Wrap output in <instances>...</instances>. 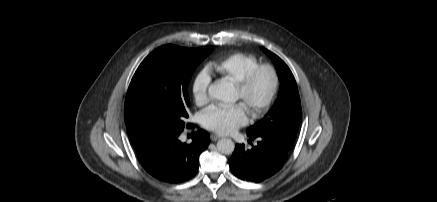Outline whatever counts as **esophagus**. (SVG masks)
Here are the masks:
<instances>
[{
	"label": "esophagus",
	"instance_id": "34e87169",
	"mask_svg": "<svg viewBox=\"0 0 437 202\" xmlns=\"http://www.w3.org/2000/svg\"><path fill=\"white\" fill-rule=\"evenodd\" d=\"M210 138H211L212 141H217V140H219L221 137L218 136V135H216V134H211Z\"/></svg>",
	"mask_w": 437,
	"mask_h": 202
}]
</instances>
